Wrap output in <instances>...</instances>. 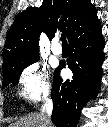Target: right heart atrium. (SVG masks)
I'll list each match as a JSON object with an SVG mask.
<instances>
[{
    "label": "right heart atrium",
    "mask_w": 108,
    "mask_h": 127,
    "mask_svg": "<svg viewBox=\"0 0 108 127\" xmlns=\"http://www.w3.org/2000/svg\"><path fill=\"white\" fill-rule=\"evenodd\" d=\"M18 81L22 97L29 102H38L50 94L49 72L39 63L27 65L20 73Z\"/></svg>",
    "instance_id": "1"
}]
</instances>
